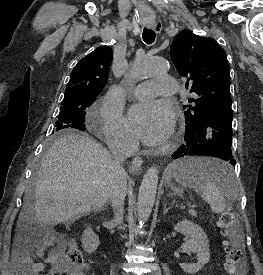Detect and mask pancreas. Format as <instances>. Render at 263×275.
I'll list each match as a JSON object with an SVG mask.
<instances>
[{
	"instance_id": "1",
	"label": "pancreas",
	"mask_w": 263,
	"mask_h": 275,
	"mask_svg": "<svg viewBox=\"0 0 263 275\" xmlns=\"http://www.w3.org/2000/svg\"><path fill=\"white\" fill-rule=\"evenodd\" d=\"M189 214L193 217L197 216V213L194 210H189Z\"/></svg>"
}]
</instances>
